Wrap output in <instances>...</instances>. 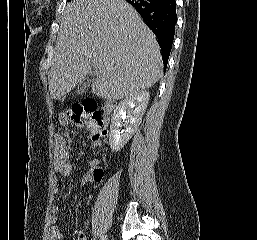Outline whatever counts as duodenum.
<instances>
[{
	"label": "duodenum",
	"mask_w": 257,
	"mask_h": 240,
	"mask_svg": "<svg viewBox=\"0 0 257 240\" xmlns=\"http://www.w3.org/2000/svg\"><path fill=\"white\" fill-rule=\"evenodd\" d=\"M106 106H105V111L108 114L111 113V111L113 110V108L115 107V101L112 99H106Z\"/></svg>",
	"instance_id": "410a0bca"
}]
</instances>
